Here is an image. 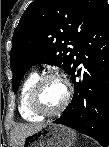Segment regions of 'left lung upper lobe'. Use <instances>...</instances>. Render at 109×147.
Returning a JSON list of instances; mask_svg holds the SVG:
<instances>
[{
	"mask_svg": "<svg viewBox=\"0 0 109 147\" xmlns=\"http://www.w3.org/2000/svg\"><path fill=\"white\" fill-rule=\"evenodd\" d=\"M106 0H34L16 27L10 52L13 91L26 71L38 63L63 68L71 74L78 44ZM74 46L73 49L68 46ZM88 90L101 86V76L88 75Z\"/></svg>",
	"mask_w": 109,
	"mask_h": 147,
	"instance_id": "left-lung-upper-lobe-1",
	"label": "left lung upper lobe"
}]
</instances>
